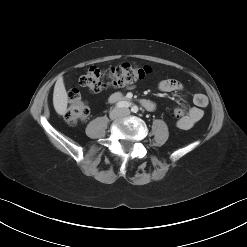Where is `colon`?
Masks as SVG:
<instances>
[{
	"instance_id": "5ec220e1",
	"label": "colon",
	"mask_w": 247,
	"mask_h": 247,
	"mask_svg": "<svg viewBox=\"0 0 247 247\" xmlns=\"http://www.w3.org/2000/svg\"><path fill=\"white\" fill-rule=\"evenodd\" d=\"M149 72L148 67H138L129 63H123L108 70L91 67L80 77L79 83L92 92H99L108 87L133 85L142 80ZM68 102L64 116L66 122L69 125H76L85 121L89 115V108L77 89L68 91ZM185 112L184 107H178L173 111V115L179 119L184 116Z\"/></svg>"
}]
</instances>
